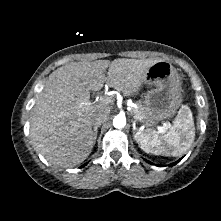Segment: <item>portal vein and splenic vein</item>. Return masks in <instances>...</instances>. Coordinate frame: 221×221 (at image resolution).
Listing matches in <instances>:
<instances>
[{
	"instance_id": "1",
	"label": "portal vein and splenic vein",
	"mask_w": 221,
	"mask_h": 221,
	"mask_svg": "<svg viewBox=\"0 0 221 221\" xmlns=\"http://www.w3.org/2000/svg\"><path fill=\"white\" fill-rule=\"evenodd\" d=\"M104 101H106L107 103L111 102V101L108 100V99H104ZM134 118H135V119H138V118H136L135 116H134Z\"/></svg>"
}]
</instances>
